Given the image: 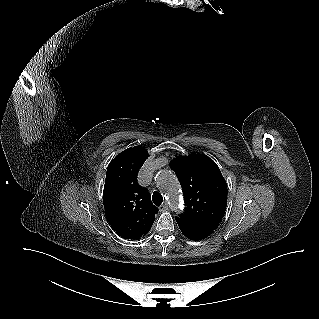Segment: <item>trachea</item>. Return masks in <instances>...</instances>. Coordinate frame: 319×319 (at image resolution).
<instances>
[{"label": "trachea", "instance_id": "3493384b", "mask_svg": "<svg viewBox=\"0 0 319 319\" xmlns=\"http://www.w3.org/2000/svg\"><path fill=\"white\" fill-rule=\"evenodd\" d=\"M152 201L155 205L159 206L163 201V197L159 192H154L152 195Z\"/></svg>", "mask_w": 319, "mask_h": 319}]
</instances>
